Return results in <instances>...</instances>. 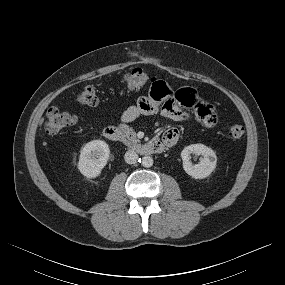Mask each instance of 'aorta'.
Listing matches in <instances>:
<instances>
[{
  "mask_svg": "<svg viewBox=\"0 0 285 285\" xmlns=\"http://www.w3.org/2000/svg\"><path fill=\"white\" fill-rule=\"evenodd\" d=\"M141 163L144 167L149 168L153 165V159L150 156H144Z\"/></svg>",
  "mask_w": 285,
  "mask_h": 285,
  "instance_id": "obj_1",
  "label": "aorta"
}]
</instances>
